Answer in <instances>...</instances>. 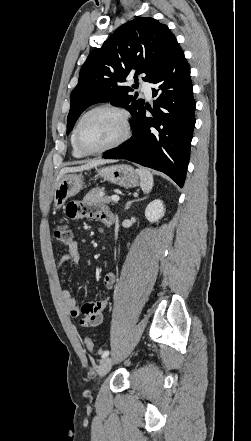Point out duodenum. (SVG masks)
Returning <instances> with one entry per match:
<instances>
[{
	"label": "duodenum",
	"mask_w": 251,
	"mask_h": 441,
	"mask_svg": "<svg viewBox=\"0 0 251 441\" xmlns=\"http://www.w3.org/2000/svg\"><path fill=\"white\" fill-rule=\"evenodd\" d=\"M111 225H112V222H108V223H107V226H111Z\"/></svg>",
	"instance_id": "1"
}]
</instances>
